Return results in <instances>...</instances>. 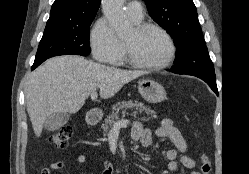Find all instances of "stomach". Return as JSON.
<instances>
[{
    "mask_svg": "<svg viewBox=\"0 0 249 174\" xmlns=\"http://www.w3.org/2000/svg\"><path fill=\"white\" fill-rule=\"evenodd\" d=\"M138 91L140 95L150 103H159L166 99L165 89L154 80H140L138 82Z\"/></svg>",
    "mask_w": 249,
    "mask_h": 174,
    "instance_id": "stomach-1",
    "label": "stomach"
}]
</instances>
